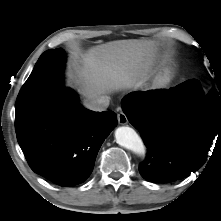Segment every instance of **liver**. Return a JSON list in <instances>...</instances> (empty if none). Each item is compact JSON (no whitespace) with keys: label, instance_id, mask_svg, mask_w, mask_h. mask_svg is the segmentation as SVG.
<instances>
[{"label":"liver","instance_id":"liver-1","mask_svg":"<svg viewBox=\"0 0 221 221\" xmlns=\"http://www.w3.org/2000/svg\"><path fill=\"white\" fill-rule=\"evenodd\" d=\"M156 53L154 41L136 39L112 41L88 49L76 63L81 93L92 100L142 86L152 71Z\"/></svg>","mask_w":221,"mask_h":221}]
</instances>
